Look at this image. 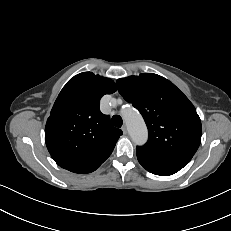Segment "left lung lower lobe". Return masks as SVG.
Here are the masks:
<instances>
[{"mask_svg": "<svg viewBox=\"0 0 231 231\" xmlns=\"http://www.w3.org/2000/svg\"><path fill=\"white\" fill-rule=\"evenodd\" d=\"M138 161L147 171L153 174H156V175L168 176V175H172L179 171L178 169H173V168H168V167H163V166H159L156 164H152L140 158H138Z\"/></svg>", "mask_w": 231, "mask_h": 231, "instance_id": "left-lung-lower-lobe-1", "label": "left lung lower lobe"}]
</instances>
